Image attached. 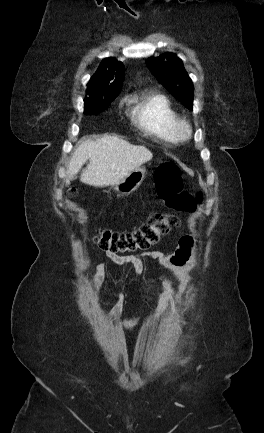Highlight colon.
Wrapping results in <instances>:
<instances>
[{
    "instance_id": "1",
    "label": "colon",
    "mask_w": 264,
    "mask_h": 433,
    "mask_svg": "<svg viewBox=\"0 0 264 433\" xmlns=\"http://www.w3.org/2000/svg\"><path fill=\"white\" fill-rule=\"evenodd\" d=\"M155 185L158 196L168 207L186 212L195 208L196 198L184 189L182 172L175 163H164L158 168ZM178 224L179 219L173 214H155L132 232L101 230L95 241L102 250L115 255L143 251L159 243ZM193 295L194 290L189 293V301Z\"/></svg>"
}]
</instances>
